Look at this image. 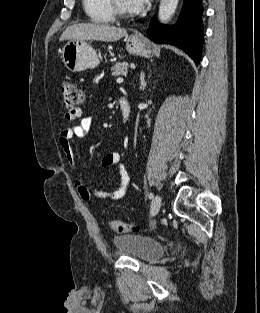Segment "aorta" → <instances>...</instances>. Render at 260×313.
Here are the masks:
<instances>
[{
  "mask_svg": "<svg viewBox=\"0 0 260 313\" xmlns=\"http://www.w3.org/2000/svg\"><path fill=\"white\" fill-rule=\"evenodd\" d=\"M178 0H161L159 6V21L168 22L176 11Z\"/></svg>",
  "mask_w": 260,
  "mask_h": 313,
  "instance_id": "1",
  "label": "aorta"
}]
</instances>
